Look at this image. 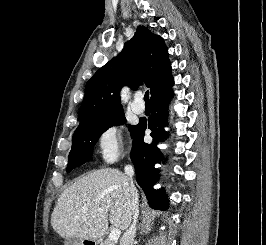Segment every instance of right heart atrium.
I'll return each mask as SVG.
<instances>
[{"instance_id":"1","label":"right heart atrium","mask_w":266,"mask_h":245,"mask_svg":"<svg viewBox=\"0 0 266 245\" xmlns=\"http://www.w3.org/2000/svg\"><path fill=\"white\" fill-rule=\"evenodd\" d=\"M96 153L103 165L115 163L124 152L123 130L120 125H109L96 138Z\"/></svg>"}]
</instances>
